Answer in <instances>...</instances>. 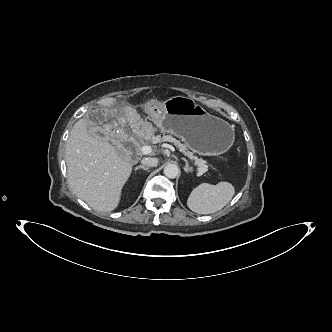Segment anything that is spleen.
<instances>
[{"label":"spleen","mask_w":332,"mask_h":332,"mask_svg":"<svg viewBox=\"0 0 332 332\" xmlns=\"http://www.w3.org/2000/svg\"><path fill=\"white\" fill-rule=\"evenodd\" d=\"M234 194L235 189L231 183L220 182L217 185L202 183L192 190L187 206L198 214H212L226 206Z\"/></svg>","instance_id":"obj_1"}]
</instances>
